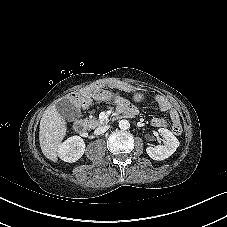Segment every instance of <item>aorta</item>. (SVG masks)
<instances>
[{
	"label": "aorta",
	"mask_w": 227,
	"mask_h": 227,
	"mask_svg": "<svg viewBox=\"0 0 227 227\" xmlns=\"http://www.w3.org/2000/svg\"><path fill=\"white\" fill-rule=\"evenodd\" d=\"M129 127H130V123L128 120L123 119L119 122V128L121 130H127V129H129Z\"/></svg>",
	"instance_id": "762f6f07"
}]
</instances>
